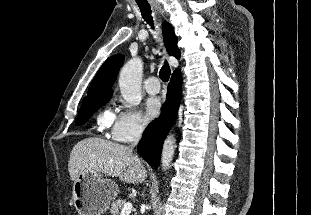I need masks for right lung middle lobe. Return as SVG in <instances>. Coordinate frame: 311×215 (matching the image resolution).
Here are the masks:
<instances>
[{
	"mask_svg": "<svg viewBox=\"0 0 311 215\" xmlns=\"http://www.w3.org/2000/svg\"><path fill=\"white\" fill-rule=\"evenodd\" d=\"M109 98L110 96H103L84 101L79 110L76 125L79 126L87 122L95 111L108 102Z\"/></svg>",
	"mask_w": 311,
	"mask_h": 215,
	"instance_id": "dd1d6c3e",
	"label": "right lung middle lobe"
}]
</instances>
